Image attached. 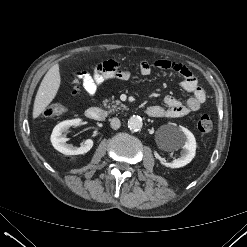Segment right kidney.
<instances>
[{"instance_id":"obj_1","label":"right kidney","mask_w":247,"mask_h":247,"mask_svg":"<svg viewBox=\"0 0 247 247\" xmlns=\"http://www.w3.org/2000/svg\"><path fill=\"white\" fill-rule=\"evenodd\" d=\"M81 119L66 120L56 125L51 134V143L53 147L66 155L85 154L93 147V140L88 139L80 147H74L72 144H66L67 138L62 135L71 126H79Z\"/></svg>"}]
</instances>
